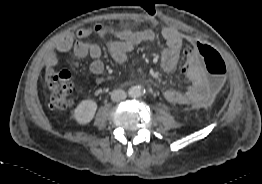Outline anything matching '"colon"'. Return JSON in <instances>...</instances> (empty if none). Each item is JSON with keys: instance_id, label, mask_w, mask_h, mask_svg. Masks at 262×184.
<instances>
[{"instance_id": "colon-1", "label": "colon", "mask_w": 262, "mask_h": 184, "mask_svg": "<svg viewBox=\"0 0 262 184\" xmlns=\"http://www.w3.org/2000/svg\"><path fill=\"white\" fill-rule=\"evenodd\" d=\"M194 50L205 67L207 88L211 95L219 92L226 80V65L220 54L210 45L194 41ZM49 105L52 109L67 108L73 101L75 86L68 71L54 72L48 77Z\"/></svg>"}]
</instances>
